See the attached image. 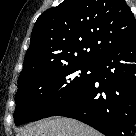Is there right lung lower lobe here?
I'll use <instances>...</instances> for the list:
<instances>
[{
	"label": "right lung lower lobe",
	"instance_id": "98d812e1",
	"mask_svg": "<svg viewBox=\"0 0 136 136\" xmlns=\"http://www.w3.org/2000/svg\"><path fill=\"white\" fill-rule=\"evenodd\" d=\"M50 116L77 119L106 136H134L136 37L100 57L88 85Z\"/></svg>",
	"mask_w": 136,
	"mask_h": 136
}]
</instances>
